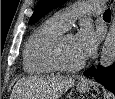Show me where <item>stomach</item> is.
<instances>
[{
    "label": "stomach",
    "mask_w": 115,
    "mask_h": 99,
    "mask_svg": "<svg viewBox=\"0 0 115 99\" xmlns=\"http://www.w3.org/2000/svg\"><path fill=\"white\" fill-rule=\"evenodd\" d=\"M77 89L82 92L85 93L87 92L90 88L88 84H78Z\"/></svg>",
    "instance_id": "1"
}]
</instances>
